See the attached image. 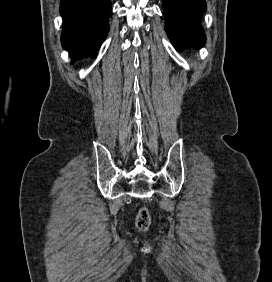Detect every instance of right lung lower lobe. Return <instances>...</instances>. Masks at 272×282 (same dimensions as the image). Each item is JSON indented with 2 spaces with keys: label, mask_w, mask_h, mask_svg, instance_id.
Returning <instances> with one entry per match:
<instances>
[{
  "label": "right lung lower lobe",
  "mask_w": 272,
  "mask_h": 282,
  "mask_svg": "<svg viewBox=\"0 0 272 282\" xmlns=\"http://www.w3.org/2000/svg\"><path fill=\"white\" fill-rule=\"evenodd\" d=\"M110 0H61V41L72 63L96 57L109 30Z\"/></svg>",
  "instance_id": "obj_1"
}]
</instances>
